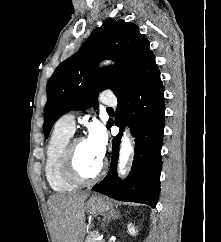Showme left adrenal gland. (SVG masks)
Returning <instances> with one entry per match:
<instances>
[{
	"label": "left adrenal gland",
	"mask_w": 221,
	"mask_h": 242,
	"mask_svg": "<svg viewBox=\"0 0 221 242\" xmlns=\"http://www.w3.org/2000/svg\"><path fill=\"white\" fill-rule=\"evenodd\" d=\"M119 217V212L117 211H112L110 212L107 216H104L103 221H106L105 223H109L111 219H116ZM105 226V224H103Z\"/></svg>",
	"instance_id": "obj_1"
}]
</instances>
